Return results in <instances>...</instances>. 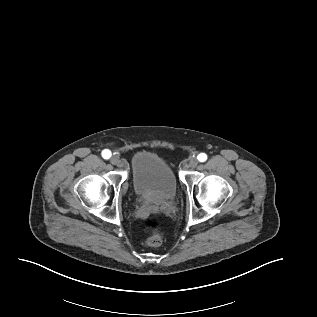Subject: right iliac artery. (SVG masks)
<instances>
[{"mask_svg": "<svg viewBox=\"0 0 317 317\" xmlns=\"http://www.w3.org/2000/svg\"><path fill=\"white\" fill-rule=\"evenodd\" d=\"M102 157L104 159H109L111 157V151L108 149H105L102 151Z\"/></svg>", "mask_w": 317, "mask_h": 317, "instance_id": "82829eb1", "label": "right iliac artery"}]
</instances>
